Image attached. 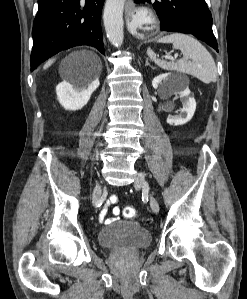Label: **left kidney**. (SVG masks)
Instances as JSON below:
<instances>
[{
	"label": "left kidney",
	"instance_id": "1",
	"mask_svg": "<svg viewBox=\"0 0 247 299\" xmlns=\"http://www.w3.org/2000/svg\"><path fill=\"white\" fill-rule=\"evenodd\" d=\"M152 86L157 89L159 86L169 94H179L182 102V109L179 116L169 115L167 123L170 125H183L189 122L196 110V101L190 96L188 87H181L177 84L175 78L169 74H161L152 81Z\"/></svg>",
	"mask_w": 247,
	"mask_h": 299
}]
</instances>
